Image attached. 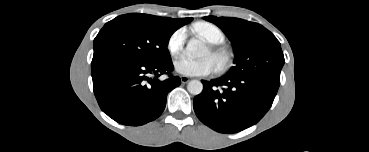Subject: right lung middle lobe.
I'll list each match as a JSON object with an SVG mask.
<instances>
[{"label":"right lung middle lobe","mask_w":369,"mask_h":152,"mask_svg":"<svg viewBox=\"0 0 369 152\" xmlns=\"http://www.w3.org/2000/svg\"><path fill=\"white\" fill-rule=\"evenodd\" d=\"M171 26L150 22L133 13L109 21L94 39L92 68L112 60L157 63L170 59Z\"/></svg>","instance_id":"right-lung-middle-lobe-1"}]
</instances>
